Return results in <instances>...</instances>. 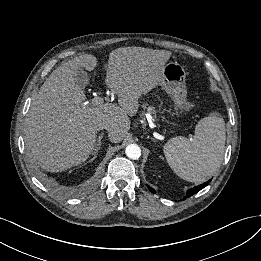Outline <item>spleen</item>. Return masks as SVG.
I'll return each instance as SVG.
<instances>
[{"mask_svg": "<svg viewBox=\"0 0 261 261\" xmlns=\"http://www.w3.org/2000/svg\"><path fill=\"white\" fill-rule=\"evenodd\" d=\"M210 114L201 119L192 140L175 137L164 145V155L171 169L182 179L201 183L220 167L225 148V122Z\"/></svg>", "mask_w": 261, "mask_h": 261, "instance_id": "3e777b00", "label": "spleen"}]
</instances>
